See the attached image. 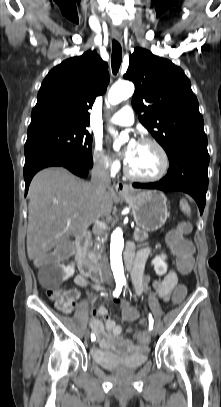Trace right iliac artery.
I'll use <instances>...</instances> for the list:
<instances>
[{
    "label": "right iliac artery",
    "instance_id": "right-iliac-artery-1",
    "mask_svg": "<svg viewBox=\"0 0 221 407\" xmlns=\"http://www.w3.org/2000/svg\"><path fill=\"white\" fill-rule=\"evenodd\" d=\"M122 287H123V283L122 282H116V288L115 291L113 292V296H117L121 293L122 291ZM96 337L94 334H91V341H95Z\"/></svg>",
    "mask_w": 221,
    "mask_h": 407
}]
</instances>
